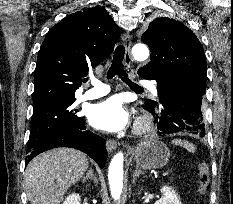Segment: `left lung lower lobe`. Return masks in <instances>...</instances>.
I'll return each instance as SVG.
<instances>
[{
    "label": "left lung lower lobe",
    "mask_w": 233,
    "mask_h": 204,
    "mask_svg": "<svg viewBox=\"0 0 233 204\" xmlns=\"http://www.w3.org/2000/svg\"><path fill=\"white\" fill-rule=\"evenodd\" d=\"M144 79L158 83V105L144 106L154 116L158 135L189 132L204 137L201 105L205 88L163 70H158L152 78Z\"/></svg>",
    "instance_id": "obj_1"
}]
</instances>
